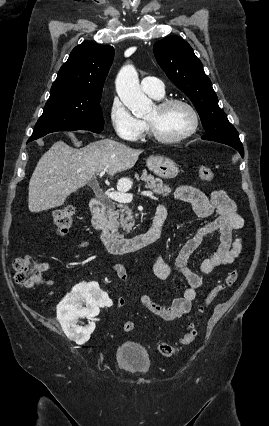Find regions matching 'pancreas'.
Returning a JSON list of instances; mask_svg holds the SVG:
<instances>
[{"instance_id": "pancreas-1", "label": "pancreas", "mask_w": 269, "mask_h": 426, "mask_svg": "<svg viewBox=\"0 0 269 426\" xmlns=\"http://www.w3.org/2000/svg\"><path fill=\"white\" fill-rule=\"evenodd\" d=\"M136 179H140L146 182V188L151 189L156 194H162L168 196L171 189L168 185L163 184V181L159 178H154L151 174H147L143 171L141 177L135 175ZM107 221L115 227H122L123 230L129 232L133 227V216L132 210L128 205L123 203L109 202L107 205Z\"/></svg>"}]
</instances>
